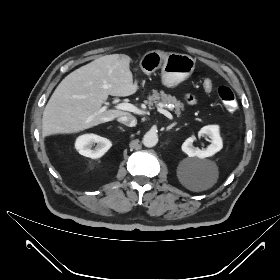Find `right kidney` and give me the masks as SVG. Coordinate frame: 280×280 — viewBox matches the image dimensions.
Instances as JSON below:
<instances>
[{
	"instance_id": "obj_1",
	"label": "right kidney",
	"mask_w": 280,
	"mask_h": 280,
	"mask_svg": "<svg viewBox=\"0 0 280 280\" xmlns=\"http://www.w3.org/2000/svg\"><path fill=\"white\" fill-rule=\"evenodd\" d=\"M95 143L96 146L92 148ZM111 146L112 143L110 140L95 134L81 135L76 139L75 142V148L79 154L92 159L103 156Z\"/></svg>"
}]
</instances>
